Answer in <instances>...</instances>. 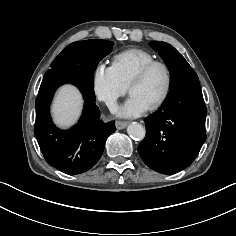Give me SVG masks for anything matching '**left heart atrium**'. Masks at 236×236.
Wrapping results in <instances>:
<instances>
[{"mask_svg":"<svg viewBox=\"0 0 236 236\" xmlns=\"http://www.w3.org/2000/svg\"><path fill=\"white\" fill-rule=\"evenodd\" d=\"M149 106L136 95H130L126 102L119 108L118 115L122 117H137L145 113Z\"/></svg>","mask_w":236,"mask_h":236,"instance_id":"obj_1","label":"left heart atrium"}]
</instances>
